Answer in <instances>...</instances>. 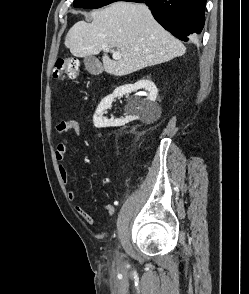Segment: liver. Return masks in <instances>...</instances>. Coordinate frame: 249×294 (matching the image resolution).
<instances>
[{"label":"liver","instance_id":"obj_1","mask_svg":"<svg viewBox=\"0 0 249 294\" xmlns=\"http://www.w3.org/2000/svg\"><path fill=\"white\" fill-rule=\"evenodd\" d=\"M92 22L79 21L69 30L65 47L75 57L104 52L105 72L123 76L182 56L186 47L153 18L145 4L115 2L91 13ZM117 48L121 59L111 60Z\"/></svg>","mask_w":249,"mask_h":294}]
</instances>
